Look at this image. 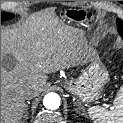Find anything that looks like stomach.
<instances>
[{
  "label": "stomach",
  "mask_w": 123,
  "mask_h": 123,
  "mask_svg": "<svg viewBox=\"0 0 123 123\" xmlns=\"http://www.w3.org/2000/svg\"><path fill=\"white\" fill-rule=\"evenodd\" d=\"M57 16L62 20L83 25L87 20L86 13L77 9L61 10ZM109 81V74L99 57L92 54L89 65L76 79L66 80L63 87L72 95L77 96L82 103L88 104L99 98L103 86Z\"/></svg>",
  "instance_id": "1"
}]
</instances>
